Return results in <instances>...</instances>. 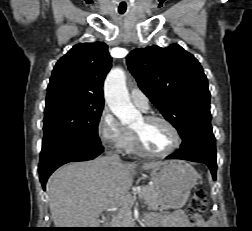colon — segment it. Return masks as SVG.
I'll list each match as a JSON object with an SVG mask.
<instances>
[{
	"label": "colon",
	"instance_id": "5ec220e1",
	"mask_svg": "<svg viewBox=\"0 0 252 231\" xmlns=\"http://www.w3.org/2000/svg\"><path fill=\"white\" fill-rule=\"evenodd\" d=\"M207 209V195L203 189H198L192 195L187 211L192 222H196L199 217L203 216Z\"/></svg>",
	"mask_w": 252,
	"mask_h": 231
}]
</instances>
